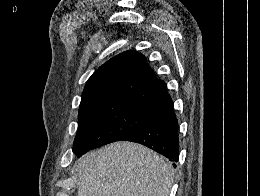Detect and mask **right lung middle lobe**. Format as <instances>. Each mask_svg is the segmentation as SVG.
Returning a JSON list of instances; mask_svg holds the SVG:
<instances>
[{"instance_id":"obj_1","label":"right lung middle lobe","mask_w":260,"mask_h":196,"mask_svg":"<svg viewBox=\"0 0 260 196\" xmlns=\"http://www.w3.org/2000/svg\"><path fill=\"white\" fill-rule=\"evenodd\" d=\"M155 116L144 107L124 102L80 106L73 150L96 148L119 141Z\"/></svg>"}]
</instances>
